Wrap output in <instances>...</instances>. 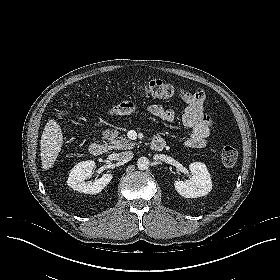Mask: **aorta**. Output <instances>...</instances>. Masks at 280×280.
Here are the masks:
<instances>
[{
	"label": "aorta",
	"mask_w": 280,
	"mask_h": 280,
	"mask_svg": "<svg viewBox=\"0 0 280 280\" xmlns=\"http://www.w3.org/2000/svg\"><path fill=\"white\" fill-rule=\"evenodd\" d=\"M150 162L146 157H140L137 160V167L139 170H146L148 169Z\"/></svg>",
	"instance_id": "762f6f07"
}]
</instances>
